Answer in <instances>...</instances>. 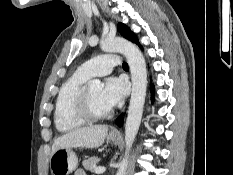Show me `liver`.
Masks as SVG:
<instances>
[{
  "label": "liver",
  "mask_w": 233,
  "mask_h": 175,
  "mask_svg": "<svg viewBox=\"0 0 233 175\" xmlns=\"http://www.w3.org/2000/svg\"><path fill=\"white\" fill-rule=\"evenodd\" d=\"M107 132L105 125L74 129L54 140L52 154L61 148H98L104 143Z\"/></svg>",
  "instance_id": "liver-1"
}]
</instances>
